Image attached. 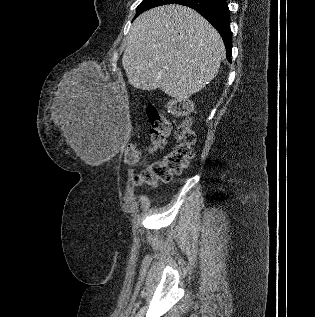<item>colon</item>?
Segmentation results:
<instances>
[{
    "mask_svg": "<svg viewBox=\"0 0 315 317\" xmlns=\"http://www.w3.org/2000/svg\"><path fill=\"white\" fill-rule=\"evenodd\" d=\"M170 109L174 115L183 117L175 129L176 143L169 153L161 159L149 163L135 175L134 181L137 185L155 186L161 182H167L180 174L193 157L195 134L190 120L187 118L190 106L186 102H174ZM146 112L150 122L151 139V145L146 151L155 153L165 145L171 130V123L153 104L147 106ZM144 154L145 151L138 145L131 144L126 149V162L137 164Z\"/></svg>",
    "mask_w": 315,
    "mask_h": 317,
    "instance_id": "5ec220e1",
    "label": "colon"
}]
</instances>
